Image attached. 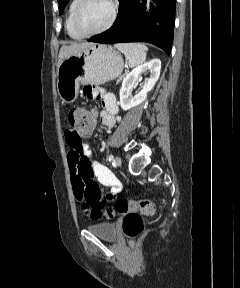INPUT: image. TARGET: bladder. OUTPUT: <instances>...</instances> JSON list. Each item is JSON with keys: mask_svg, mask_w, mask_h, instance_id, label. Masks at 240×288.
Masks as SVG:
<instances>
[{"mask_svg": "<svg viewBox=\"0 0 240 288\" xmlns=\"http://www.w3.org/2000/svg\"><path fill=\"white\" fill-rule=\"evenodd\" d=\"M87 230L95 236L107 241H114L118 236L117 226L110 222L90 224L87 226Z\"/></svg>", "mask_w": 240, "mask_h": 288, "instance_id": "31cf9c89", "label": "bladder"}]
</instances>
